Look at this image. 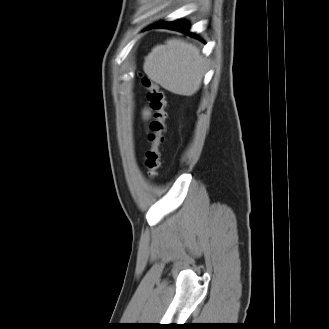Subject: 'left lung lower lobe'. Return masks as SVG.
Masks as SVG:
<instances>
[{"instance_id": "left-lung-lower-lobe-1", "label": "left lung lower lobe", "mask_w": 329, "mask_h": 329, "mask_svg": "<svg viewBox=\"0 0 329 329\" xmlns=\"http://www.w3.org/2000/svg\"><path fill=\"white\" fill-rule=\"evenodd\" d=\"M151 28H168V29L181 31V32L189 34L191 36H196L194 33L189 32L190 26L181 21L158 22L154 25H151L147 29H151Z\"/></svg>"}]
</instances>
